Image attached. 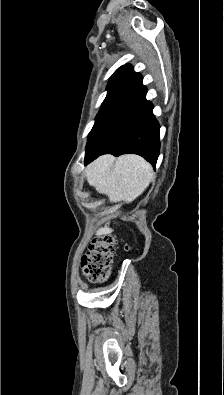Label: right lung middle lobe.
<instances>
[{
    "label": "right lung middle lobe",
    "instance_id": "obj_1",
    "mask_svg": "<svg viewBox=\"0 0 224 395\" xmlns=\"http://www.w3.org/2000/svg\"><path fill=\"white\" fill-rule=\"evenodd\" d=\"M117 75H118V74H114V75L111 77V79H110V81H109V83H108V86H107L108 91H109V90L111 89V87L113 86V84H114V82H115V79H116Z\"/></svg>",
    "mask_w": 224,
    "mask_h": 395
}]
</instances>
